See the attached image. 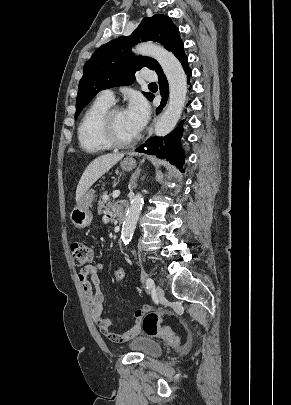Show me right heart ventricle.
Segmentation results:
<instances>
[{
    "instance_id": "obj_1",
    "label": "right heart ventricle",
    "mask_w": 291,
    "mask_h": 405,
    "mask_svg": "<svg viewBox=\"0 0 291 405\" xmlns=\"http://www.w3.org/2000/svg\"><path fill=\"white\" fill-rule=\"evenodd\" d=\"M110 107V103L97 98L82 115L77 136L79 145L85 152L95 154L111 149L100 131L102 117Z\"/></svg>"
}]
</instances>
